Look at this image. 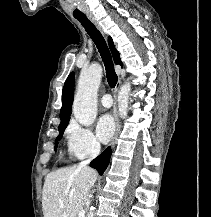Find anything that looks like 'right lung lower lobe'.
I'll return each instance as SVG.
<instances>
[{
    "mask_svg": "<svg viewBox=\"0 0 211 217\" xmlns=\"http://www.w3.org/2000/svg\"><path fill=\"white\" fill-rule=\"evenodd\" d=\"M110 155L111 150L110 147H108L101 155H99L90 163V166L95 168L98 173L102 175L109 164Z\"/></svg>",
    "mask_w": 211,
    "mask_h": 217,
    "instance_id": "1",
    "label": "right lung lower lobe"
}]
</instances>
